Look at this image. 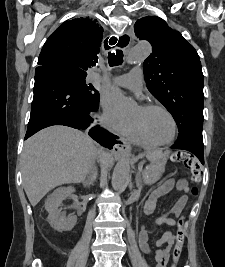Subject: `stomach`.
I'll list each match as a JSON object with an SVG mask.
<instances>
[{
	"label": "stomach",
	"mask_w": 225,
	"mask_h": 267,
	"mask_svg": "<svg viewBox=\"0 0 225 267\" xmlns=\"http://www.w3.org/2000/svg\"><path fill=\"white\" fill-rule=\"evenodd\" d=\"M147 158L153 163H155L157 161H165L166 160L165 156L161 153L148 154Z\"/></svg>",
	"instance_id": "1"
}]
</instances>
